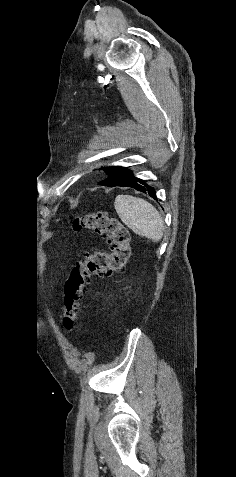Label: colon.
<instances>
[{"label": "colon", "mask_w": 236, "mask_h": 477, "mask_svg": "<svg viewBox=\"0 0 236 477\" xmlns=\"http://www.w3.org/2000/svg\"><path fill=\"white\" fill-rule=\"evenodd\" d=\"M73 229L103 236L111 244V251L89 254L72 269L64 287L62 324L67 331L75 328L89 279L92 276L109 275L123 268L132 256L130 232L106 212L76 217Z\"/></svg>", "instance_id": "5ec220e1"}]
</instances>
